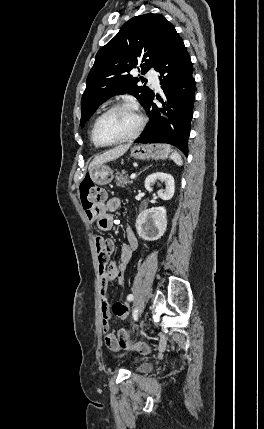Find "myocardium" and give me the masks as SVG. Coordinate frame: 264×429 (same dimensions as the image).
<instances>
[{
    "label": "myocardium",
    "mask_w": 264,
    "mask_h": 429,
    "mask_svg": "<svg viewBox=\"0 0 264 429\" xmlns=\"http://www.w3.org/2000/svg\"><path fill=\"white\" fill-rule=\"evenodd\" d=\"M118 110H129L132 113H134V115L137 118V126L135 128V130L128 135L125 138L113 141V142H109V143H103L101 141L98 140L97 135H96V131H97V126L99 124V122L108 114L114 112V111H118ZM145 126V117L144 115L141 113V111L139 110V108L130 102H121V103H117L112 105L111 107H109L108 109H106L103 113H101L95 120L93 127H92V132H91V137L93 142L99 146V147H109V146H113V145H117V144H122V143H126L129 141H132L134 139H136L141 132L143 131V128Z\"/></svg>",
    "instance_id": "myocardium-1"
}]
</instances>
